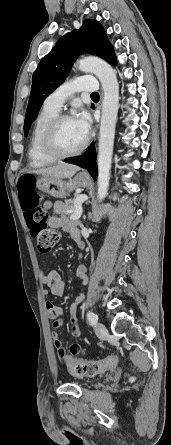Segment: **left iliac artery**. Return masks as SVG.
Listing matches in <instances>:
<instances>
[{
    "label": "left iliac artery",
    "mask_w": 171,
    "mask_h": 445,
    "mask_svg": "<svg viewBox=\"0 0 171 445\" xmlns=\"http://www.w3.org/2000/svg\"><path fill=\"white\" fill-rule=\"evenodd\" d=\"M87 319H88L89 323L93 326V325H96V323L98 321V316L95 313H93L92 311H88Z\"/></svg>",
    "instance_id": "obj_1"
}]
</instances>
